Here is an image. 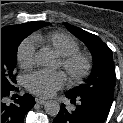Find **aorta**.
Returning <instances> with one entry per match:
<instances>
[{"mask_svg":"<svg viewBox=\"0 0 123 123\" xmlns=\"http://www.w3.org/2000/svg\"><path fill=\"white\" fill-rule=\"evenodd\" d=\"M35 59L41 66L48 67L54 64L53 56L47 51H40L36 54ZM45 111L51 116H56L60 111V104L57 101H47L45 104Z\"/></svg>","mask_w":123,"mask_h":123,"instance_id":"obj_1","label":"aorta"}]
</instances>
